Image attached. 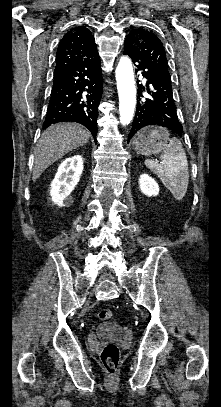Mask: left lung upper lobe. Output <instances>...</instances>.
I'll use <instances>...</instances> for the list:
<instances>
[{
	"label": "left lung upper lobe",
	"instance_id": "5c2ea615",
	"mask_svg": "<svg viewBox=\"0 0 221 407\" xmlns=\"http://www.w3.org/2000/svg\"><path fill=\"white\" fill-rule=\"evenodd\" d=\"M127 37L133 41L135 52L140 60L145 61L158 73L170 77L163 43L155 34L147 29L137 28Z\"/></svg>",
	"mask_w": 221,
	"mask_h": 407
}]
</instances>
